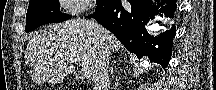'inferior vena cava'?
Instances as JSON below:
<instances>
[{"label": "inferior vena cava", "mask_w": 216, "mask_h": 90, "mask_svg": "<svg viewBox=\"0 0 216 90\" xmlns=\"http://www.w3.org/2000/svg\"><path fill=\"white\" fill-rule=\"evenodd\" d=\"M109 52H105L100 56V60L92 72L93 82L95 84L94 90H110V76L109 72L110 62H109Z\"/></svg>", "instance_id": "obj_1"}]
</instances>
